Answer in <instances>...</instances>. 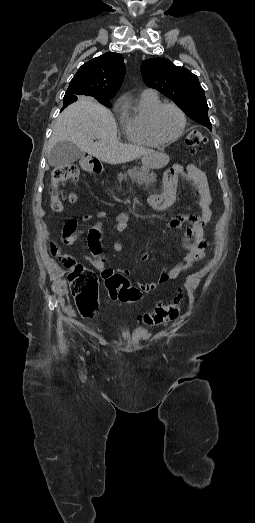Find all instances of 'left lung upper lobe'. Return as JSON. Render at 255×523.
<instances>
[{
	"instance_id": "obj_1",
	"label": "left lung upper lobe",
	"mask_w": 255,
	"mask_h": 523,
	"mask_svg": "<svg viewBox=\"0 0 255 523\" xmlns=\"http://www.w3.org/2000/svg\"><path fill=\"white\" fill-rule=\"evenodd\" d=\"M141 73L147 86L172 99L190 118L212 130L205 92L196 75L160 58L143 61Z\"/></svg>"
}]
</instances>
